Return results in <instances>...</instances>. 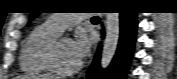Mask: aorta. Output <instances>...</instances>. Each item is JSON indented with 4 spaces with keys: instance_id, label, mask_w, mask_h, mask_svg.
<instances>
[{
    "instance_id": "1",
    "label": "aorta",
    "mask_w": 177,
    "mask_h": 79,
    "mask_svg": "<svg viewBox=\"0 0 177 79\" xmlns=\"http://www.w3.org/2000/svg\"><path fill=\"white\" fill-rule=\"evenodd\" d=\"M120 36L119 13L106 14V36L101 55V67L106 69L116 53Z\"/></svg>"
}]
</instances>
